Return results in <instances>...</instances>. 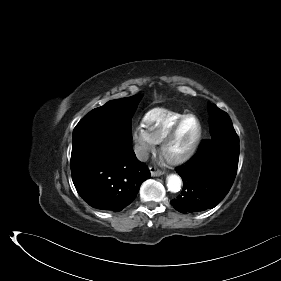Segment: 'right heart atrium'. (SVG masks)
<instances>
[{
    "instance_id": "1",
    "label": "right heart atrium",
    "mask_w": 281,
    "mask_h": 281,
    "mask_svg": "<svg viewBox=\"0 0 281 281\" xmlns=\"http://www.w3.org/2000/svg\"><path fill=\"white\" fill-rule=\"evenodd\" d=\"M132 137L137 157L144 160L154 149L155 143L149 137L142 125H138L133 129Z\"/></svg>"
}]
</instances>
